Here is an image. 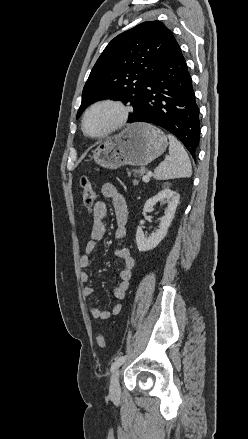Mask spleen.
Instances as JSON below:
<instances>
[{"mask_svg": "<svg viewBox=\"0 0 248 439\" xmlns=\"http://www.w3.org/2000/svg\"><path fill=\"white\" fill-rule=\"evenodd\" d=\"M168 138L170 158L158 165L154 171V178L166 180L190 177L192 175V167L186 150L173 135H168Z\"/></svg>", "mask_w": 248, "mask_h": 439, "instance_id": "obj_1", "label": "spleen"}]
</instances>
